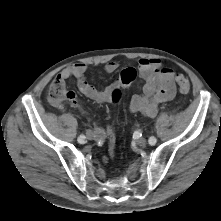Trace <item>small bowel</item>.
Segmentation results:
<instances>
[{
    "mask_svg": "<svg viewBox=\"0 0 221 221\" xmlns=\"http://www.w3.org/2000/svg\"><path fill=\"white\" fill-rule=\"evenodd\" d=\"M119 65L115 61L108 62L104 71L113 73L118 69ZM87 64L75 63L63 69L54 79L65 83L71 77L76 78L77 88L85 97L97 102L107 103L112 102V92L120 86L130 85L137 75L144 81L142 92L134 94L129 102V110L138 112L147 117H154L159 109L160 104L172 100L176 95V86L174 82V72L171 67H162L161 61L154 58H142L139 60L138 68H126L123 70L115 82L104 88H96L91 85L86 77ZM129 80L128 85H123L122 82ZM73 105H78L77 102H71ZM99 136L103 135V131L96 129ZM110 152V151H109ZM110 155L114 154L110 152ZM104 162H108L109 158L104 157Z\"/></svg>",
    "mask_w": 221,
    "mask_h": 221,
    "instance_id": "1",
    "label": "small bowel"
}]
</instances>
